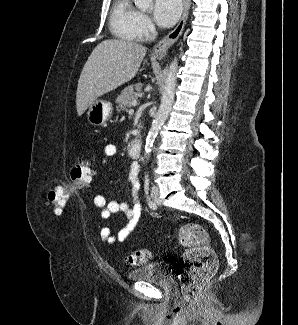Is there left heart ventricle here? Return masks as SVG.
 Returning a JSON list of instances; mask_svg holds the SVG:
<instances>
[{
    "label": "left heart ventricle",
    "instance_id": "obj_1",
    "mask_svg": "<svg viewBox=\"0 0 298 325\" xmlns=\"http://www.w3.org/2000/svg\"><path fill=\"white\" fill-rule=\"evenodd\" d=\"M143 7L146 8V3H144V6Z\"/></svg>",
    "mask_w": 298,
    "mask_h": 325
}]
</instances>
